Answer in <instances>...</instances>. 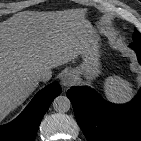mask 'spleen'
<instances>
[{
    "mask_svg": "<svg viewBox=\"0 0 141 141\" xmlns=\"http://www.w3.org/2000/svg\"><path fill=\"white\" fill-rule=\"evenodd\" d=\"M104 92L108 100L125 102L132 96L133 89L129 81L119 77H109L104 82Z\"/></svg>",
    "mask_w": 141,
    "mask_h": 141,
    "instance_id": "3e777b00",
    "label": "spleen"
}]
</instances>
